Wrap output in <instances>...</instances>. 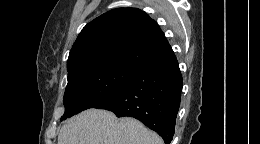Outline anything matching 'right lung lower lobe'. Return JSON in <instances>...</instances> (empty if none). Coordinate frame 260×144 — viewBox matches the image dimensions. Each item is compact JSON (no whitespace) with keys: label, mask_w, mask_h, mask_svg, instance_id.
<instances>
[{"label":"right lung lower lobe","mask_w":260,"mask_h":144,"mask_svg":"<svg viewBox=\"0 0 260 144\" xmlns=\"http://www.w3.org/2000/svg\"><path fill=\"white\" fill-rule=\"evenodd\" d=\"M182 76L174 53L137 68L126 83L94 108L134 117L156 131L165 144L174 135Z\"/></svg>","instance_id":"right-lung-lower-lobe-1"}]
</instances>
